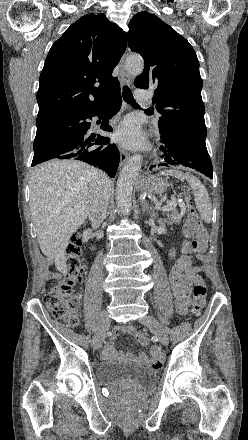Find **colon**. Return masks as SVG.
Segmentation results:
<instances>
[{"label":"colon","instance_id":"colon-1","mask_svg":"<svg viewBox=\"0 0 248 440\" xmlns=\"http://www.w3.org/2000/svg\"><path fill=\"white\" fill-rule=\"evenodd\" d=\"M185 199L189 221L194 224L197 230V234L191 244V249L193 253H199L205 248V230L189 192H185ZM66 266L67 269L64 279L58 281L49 288L44 296V302L54 318L64 321L70 327H75L79 324L80 320L77 313L78 299L74 294L73 288L81 279L83 273L81 237L77 233L73 234L71 237L66 250ZM191 276L193 283L192 313L199 316L205 305L207 287L201 276L194 272L191 273ZM135 339L137 343L143 347L149 345V338L144 333H136Z\"/></svg>","mask_w":248,"mask_h":440}]
</instances>
